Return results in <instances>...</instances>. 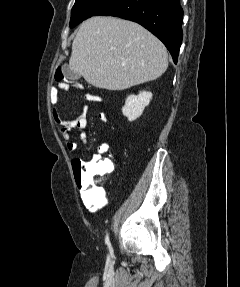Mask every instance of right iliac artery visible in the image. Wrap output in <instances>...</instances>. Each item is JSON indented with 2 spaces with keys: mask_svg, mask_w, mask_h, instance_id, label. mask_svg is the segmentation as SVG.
<instances>
[{
  "mask_svg": "<svg viewBox=\"0 0 240 287\" xmlns=\"http://www.w3.org/2000/svg\"><path fill=\"white\" fill-rule=\"evenodd\" d=\"M105 244H106L107 248L111 251L112 248H111V243H110V240H109V234L108 233H107V235L105 237Z\"/></svg>",
  "mask_w": 240,
  "mask_h": 287,
  "instance_id": "1",
  "label": "right iliac artery"
}]
</instances>
